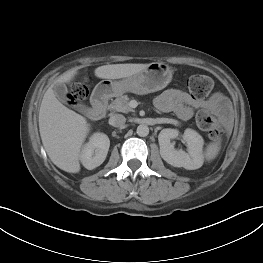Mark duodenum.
<instances>
[{
    "mask_svg": "<svg viewBox=\"0 0 263 263\" xmlns=\"http://www.w3.org/2000/svg\"><path fill=\"white\" fill-rule=\"evenodd\" d=\"M109 90L106 87H99L92 96V107L89 110V117L94 120L101 119L107 112Z\"/></svg>",
    "mask_w": 263,
    "mask_h": 263,
    "instance_id": "410a0bca",
    "label": "duodenum"
}]
</instances>
